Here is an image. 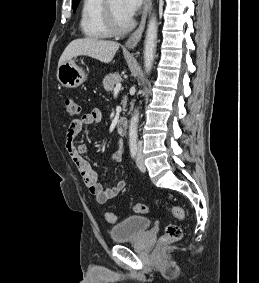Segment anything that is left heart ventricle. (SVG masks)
<instances>
[{"label":"left heart ventricle","instance_id":"obj_1","mask_svg":"<svg viewBox=\"0 0 259 283\" xmlns=\"http://www.w3.org/2000/svg\"><path fill=\"white\" fill-rule=\"evenodd\" d=\"M111 6L119 24L125 25L129 19L122 12L121 0H111Z\"/></svg>","mask_w":259,"mask_h":283}]
</instances>
